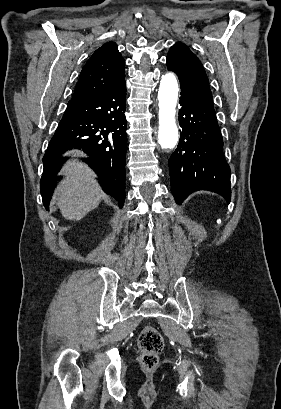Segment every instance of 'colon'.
Masks as SVG:
<instances>
[{
  "instance_id": "5ec220e1",
  "label": "colon",
  "mask_w": 281,
  "mask_h": 409,
  "mask_svg": "<svg viewBox=\"0 0 281 409\" xmlns=\"http://www.w3.org/2000/svg\"><path fill=\"white\" fill-rule=\"evenodd\" d=\"M137 345L141 351L140 363L146 369H152L157 366L158 353L165 345L163 336L152 326H145L137 339Z\"/></svg>"
}]
</instances>
